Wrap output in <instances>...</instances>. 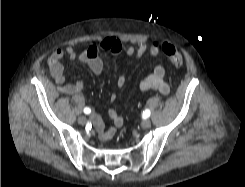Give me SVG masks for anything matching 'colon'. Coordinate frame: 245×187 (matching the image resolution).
<instances>
[{
    "instance_id": "5ec220e1",
    "label": "colon",
    "mask_w": 245,
    "mask_h": 187,
    "mask_svg": "<svg viewBox=\"0 0 245 187\" xmlns=\"http://www.w3.org/2000/svg\"><path fill=\"white\" fill-rule=\"evenodd\" d=\"M162 51L175 68H181L183 66V55L173 45L164 43L162 45Z\"/></svg>"
}]
</instances>
